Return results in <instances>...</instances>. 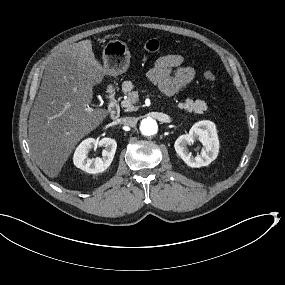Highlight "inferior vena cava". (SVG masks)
Here are the masks:
<instances>
[{"instance_id":"inferior-vena-cava-1","label":"inferior vena cava","mask_w":285,"mask_h":285,"mask_svg":"<svg viewBox=\"0 0 285 285\" xmlns=\"http://www.w3.org/2000/svg\"><path fill=\"white\" fill-rule=\"evenodd\" d=\"M120 123L126 126H134L136 124V120L134 117H123L120 119Z\"/></svg>"}]
</instances>
